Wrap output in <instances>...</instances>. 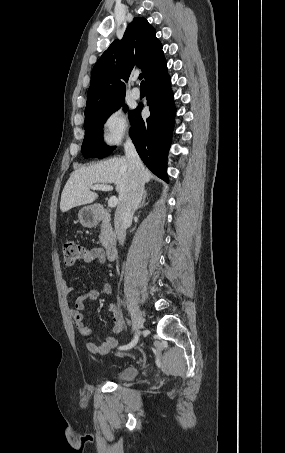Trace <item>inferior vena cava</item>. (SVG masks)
<instances>
[{
	"label": "inferior vena cava",
	"mask_w": 285,
	"mask_h": 453,
	"mask_svg": "<svg viewBox=\"0 0 285 453\" xmlns=\"http://www.w3.org/2000/svg\"><path fill=\"white\" fill-rule=\"evenodd\" d=\"M125 156L132 171L129 189L115 212V231L121 245L126 238V229L131 224L144 193V166L130 139L124 144Z\"/></svg>",
	"instance_id": "1"
}]
</instances>
